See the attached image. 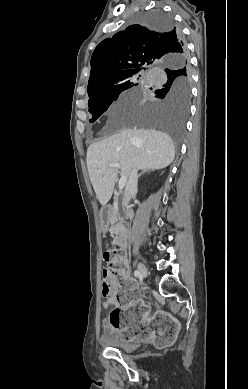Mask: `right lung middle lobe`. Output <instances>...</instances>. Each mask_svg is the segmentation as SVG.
<instances>
[{
  "label": "right lung middle lobe",
  "mask_w": 248,
  "mask_h": 389,
  "mask_svg": "<svg viewBox=\"0 0 248 389\" xmlns=\"http://www.w3.org/2000/svg\"><path fill=\"white\" fill-rule=\"evenodd\" d=\"M141 21L157 30L175 28L173 18L162 10L148 11L141 16ZM156 71L158 75L154 78L156 85L153 89L159 102L151 107L133 104L125 107L123 112L133 121L167 132L178 147L181 144L190 104V66L185 59L173 58L159 65ZM138 72L120 76L107 87H102L89 95V111L92 114L90 122H94L103 114L121 94L138 85L134 78Z\"/></svg>",
  "instance_id": "right-lung-middle-lobe-1"
}]
</instances>
